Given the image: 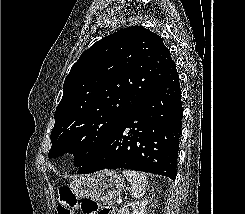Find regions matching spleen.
I'll return each instance as SVG.
<instances>
[{"instance_id":"1","label":"spleen","mask_w":245,"mask_h":214,"mask_svg":"<svg viewBox=\"0 0 245 214\" xmlns=\"http://www.w3.org/2000/svg\"><path fill=\"white\" fill-rule=\"evenodd\" d=\"M123 175L130 183L129 191L132 197L135 199L141 198L148 185L147 176L142 172L133 170H124Z\"/></svg>"}]
</instances>
